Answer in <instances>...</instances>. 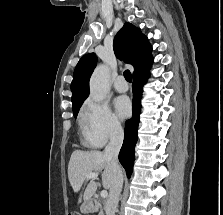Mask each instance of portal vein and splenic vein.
<instances>
[{
    "label": "portal vein and splenic vein",
    "mask_w": 223,
    "mask_h": 215,
    "mask_svg": "<svg viewBox=\"0 0 223 215\" xmlns=\"http://www.w3.org/2000/svg\"><path fill=\"white\" fill-rule=\"evenodd\" d=\"M87 177H89V179H91V177H98V173H88ZM107 195H108L107 189H102L101 197H107Z\"/></svg>",
    "instance_id": "1"
}]
</instances>
